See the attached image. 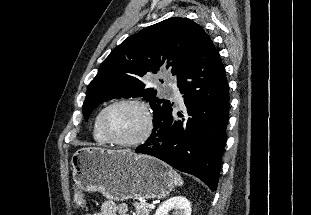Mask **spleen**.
<instances>
[{
	"label": "spleen",
	"instance_id": "1",
	"mask_svg": "<svg viewBox=\"0 0 311 215\" xmlns=\"http://www.w3.org/2000/svg\"><path fill=\"white\" fill-rule=\"evenodd\" d=\"M172 176L174 178V184L176 186H182L183 185V180H182L181 176L175 170H172Z\"/></svg>",
	"mask_w": 311,
	"mask_h": 215
}]
</instances>
